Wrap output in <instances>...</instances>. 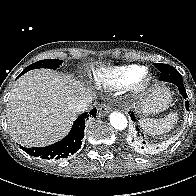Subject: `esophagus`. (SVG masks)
Returning a JSON list of instances; mask_svg holds the SVG:
<instances>
[{"label": "esophagus", "instance_id": "obj_1", "mask_svg": "<svg viewBox=\"0 0 196 196\" xmlns=\"http://www.w3.org/2000/svg\"><path fill=\"white\" fill-rule=\"evenodd\" d=\"M99 115L107 114L111 111V108L108 104L102 103L98 107Z\"/></svg>", "mask_w": 196, "mask_h": 196}]
</instances>
